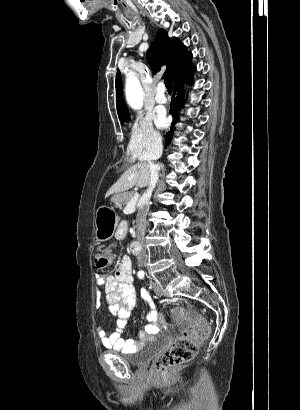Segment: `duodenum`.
I'll return each mask as SVG.
<instances>
[{"label": "duodenum", "mask_w": 300, "mask_h": 410, "mask_svg": "<svg viewBox=\"0 0 300 410\" xmlns=\"http://www.w3.org/2000/svg\"><path fill=\"white\" fill-rule=\"evenodd\" d=\"M130 250L133 254L135 255H139L140 254V248H139V244H138V240H134L131 244H130Z\"/></svg>", "instance_id": "duodenum-1"}]
</instances>
